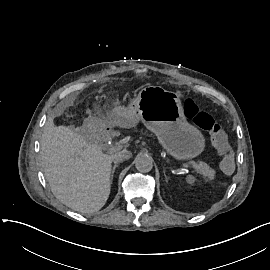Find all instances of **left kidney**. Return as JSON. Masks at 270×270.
Here are the masks:
<instances>
[{
	"label": "left kidney",
	"instance_id": "5707ae66",
	"mask_svg": "<svg viewBox=\"0 0 270 270\" xmlns=\"http://www.w3.org/2000/svg\"><path fill=\"white\" fill-rule=\"evenodd\" d=\"M187 182L192 184L194 182V177L193 176H188L187 177Z\"/></svg>",
	"mask_w": 270,
	"mask_h": 270
}]
</instances>
